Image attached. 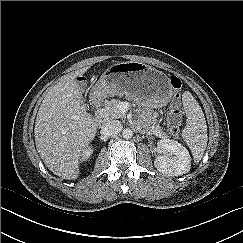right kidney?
<instances>
[{
    "label": "right kidney",
    "instance_id": "right-kidney-1",
    "mask_svg": "<svg viewBox=\"0 0 243 243\" xmlns=\"http://www.w3.org/2000/svg\"><path fill=\"white\" fill-rule=\"evenodd\" d=\"M93 150H94V148H92V146H89L88 148L84 149L81 154V156H82L81 160L85 161V160L89 159V157L93 153Z\"/></svg>",
    "mask_w": 243,
    "mask_h": 243
}]
</instances>
